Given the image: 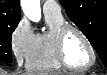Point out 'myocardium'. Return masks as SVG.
<instances>
[{
	"mask_svg": "<svg viewBox=\"0 0 107 75\" xmlns=\"http://www.w3.org/2000/svg\"><path fill=\"white\" fill-rule=\"evenodd\" d=\"M69 32L77 33L83 39V41L86 43V45L90 51V54H91V60L87 65L78 67V66H74L68 62V60L65 56L64 42H65V38ZM54 45H55L56 59L59 62V64L65 69H68L71 71H76V72H82V71L89 70L96 63L97 55H96V50H95L92 42L87 37V35L76 26L68 25V24L62 25L55 33Z\"/></svg>",
	"mask_w": 107,
	"mask_h": 75,
	"instance_id": "f54148a6",
	"label": "myocardium"
}]
</instances>
